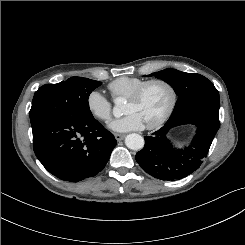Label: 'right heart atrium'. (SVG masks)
<instances>
[{
    "label": "right heart atrium",
    "mask_w": 245,
    "mask_h": 245,
    "mask_svg": "<svg viewBox=\"0 0 245 245\" xmlns=\"http://www.w3.org/2000/svg\"><path fill=\"white\" fill-rule=\"evenodd\" d=\"M90 114L101 122H108L112 115L111 101L99 90H92L86 98Z\"/></svg>",
    "instance_id": "d8ad5b80"
}]
</instances>
